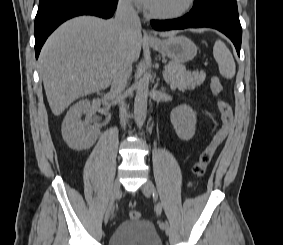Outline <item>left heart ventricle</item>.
<instances>
[{"label":"left heart ventricle","mask_w":283,"mask_h":245,"mask_svg":"<svg viewBox=\"0 0 283 245\" xmlns=\"http://www.w3.org/2000/svg\"><path fill=\"white\" fill-rule=\"evenodd\" d=\"M184 2L185 0H153L149 9L157 12H172L179 9Z\"/></svg>","instance_id":"obj_1"}]
</instances>
